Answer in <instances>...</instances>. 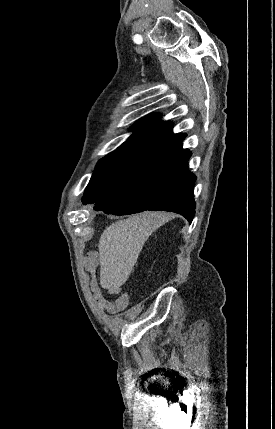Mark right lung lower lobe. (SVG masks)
<instances>
[{"mask_svg": "<svg viewBox=\"0 0 275 429\" xmlns=\"http://www.w3.org/2000/svg\"><path fill=\"white\" fill-rule=\"evenodd\" d=\"M190 152L176 144L145 162L137 173L110 195L95 202L94 209L126 215L145 210L181 214L189 222L195 214L196 176L188 170Z\"/></svg>", "mask_w": 275, "mask_h": 429, "instance_id": "right-lung-lower-lobe-1", "label": "right lung lower lobe"}]
</instances>
